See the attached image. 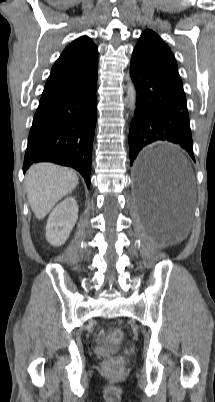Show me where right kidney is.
<instances>
[{
	"instance_id": "1",
	"label": "right kidney",
	"mask_w": 215,
	"mask_h": 402,
	"mask_svg": "<svg viewBox=\"0 0 215 402\" xmlns=\"http://www.w3.org/2000/svg\"><path fill=\"white\" fill-rule=\"evenodd\" d=\"M78 219V205L73 197L59 203L49 215L46 225V239L59 246L66 242Z\"/></svg>"
}]
</instances>
